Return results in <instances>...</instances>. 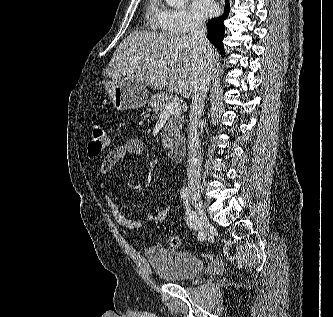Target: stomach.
Listing matches in <instances>:
<instances>
[{
	"instance_id": "1",
	"label": "stomach",
	"mask_w": 333,
	"mask_h": 317,
	"mask_svg": "<svg viewBox=\"0 0 333 317\" xmlns=\"http://www.w3.org/2000/svg\"><path fill=\"white\" fill-rule=\"evenodd\" d=\"M113 106L117 110L137 109L148 101V93L144 84L134 78L122 80L109 78L102 81Z\"/></svg>"
}]
</instances>
